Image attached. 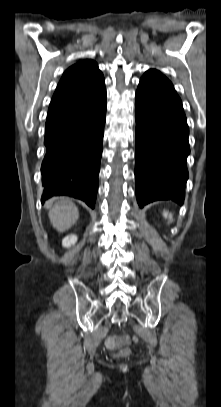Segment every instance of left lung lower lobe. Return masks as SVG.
<instances>
[{
    "instance_id": "left-lung-lower-lobe-1",
    "label": "left lung lower lobe",
    "mask_w": 221,
    "mask_h": 407,
    "mask_svg": "<svg viewBox=\"0 0 221 407\" xmlns=\"http://www.w3.org/2000/svg\"><path fill=\"white\" fill-rule=\"evenodd\" d=\"M136 197L183 204L189 129L182 102L166 77H142L136 92Z\"/></svg>"
}]
</instances>
